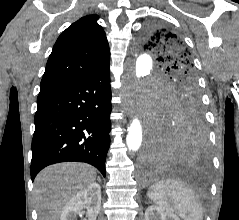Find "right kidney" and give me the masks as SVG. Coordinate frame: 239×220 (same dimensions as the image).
Masks as SVG:
<instances>
[{
	"label": "right kidney",
	"mask_w": 239,
	"mask_h": 220,
	"mask_svg": "<svg viewBox=\"0 0 239 220\" xmlns=\"http://www.w3.org/2000/svg\"><path fill=\"white\" fill-rule=\"evenodd\" d=\"M101 205V187L92 183L76 193L63 207L60 220H75L83 208H87V219L96 220Z\"/></svg>",
	"instance_id": "1"
}]
</instances>
